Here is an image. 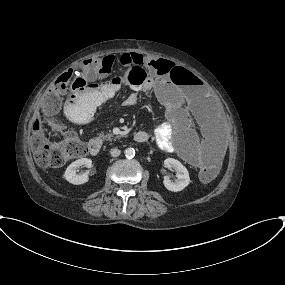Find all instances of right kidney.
Instances as JSON below:
<instances>
[{"instance_id":"1","label":"right kidney","mask_w":285,"mask_h":285,"mask_svg":"<svg viewBox=\"0 0 285 285\" xmlns=\"http://www.w3.org/2000/svg\"><path fill=\"white\" fill-rule=\"evenodd\" d=\"M82 166H86L90 168L92 166V160L88 158H81L74 162H72L66 169L64 173V178L74 184V185H80L88 182L89 180V171H86L83 174H78V169Z\"/></svg>"}]
</instances>
